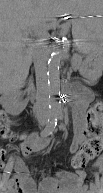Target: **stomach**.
<instances>
[{
  "mask_svg": "<svg viewBox=\"0 0 103 193\" xmlns=\"http://www.w3.org/2000/svg\"><path fill=\"white\" fill-rule=\"evenodd\" d=\"M82 3L81 5H77L72 12V14L77 16H84L86 17L83 20V24L78 28L80 33L85 34L89 33L90 26H89V19L92 18L93 20L100 19L99 16L101 14L102 8V0H80ZM92 20V21H93ZM79 41V49H81L86 56L89 58L91 56L92 47H91V39L88 36H80Z\"/></svg>",
  "mask_w": 103,
  "mask_h": 193,
  "instance_id": "0dacf381",
  "label": "stomach"
}]
</instances>
